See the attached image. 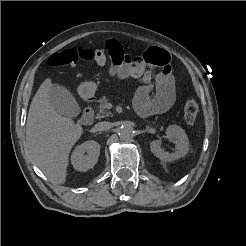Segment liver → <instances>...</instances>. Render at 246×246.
Returning <instances> with one entry per match:
<instances>
[{
    "instance_id": "obj_1",
    "label": "liver",
    "mask_w": 246,
    "mask_h": 246,
    "mask_svg": "<svg viewBox=\"0 0 246 246\" xmlns=\"http://www.w3.org/2000/svg\"><path fill=\"white\" fill-rule=\"evenodd\" d=\"M52 81L46 78L29 108L26 123L28 152L35 165L54 184H64L69 154L83 127L59 114L50 103Z\"/></svg>"
}]
</instances>
